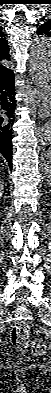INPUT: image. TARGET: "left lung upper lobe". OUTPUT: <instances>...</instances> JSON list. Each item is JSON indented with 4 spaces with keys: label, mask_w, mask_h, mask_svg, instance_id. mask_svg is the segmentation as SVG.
<instances>
[{
    "label": "left lung upper lobe",
    "mask_w": 51,
    "mask_h": 393,
    "mask_svg": "<svg viewBox=\"0 0 51 393\" xmlns=\"http://www.w3.org/2000/svg\"><path fill=\"white\" fill-rule=\"evenodd\" d=\"M38 35H47L51 38V19L44 22L37 30Z\"/></svg>",
    "instance_id": "5c2ea615"
}]
</instances>
